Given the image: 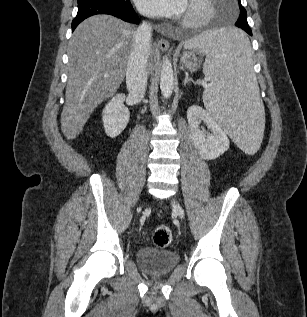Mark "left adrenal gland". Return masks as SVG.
Instances as JSON below:
<instances>
[{
    "mask_svg": "<svg viewBox=\"0 0 307 317\" xmlns=\"http://www.w3.org/2000/svg\"><path fill=\"white\" fill-rule=\"evenodd\" d=\"M188 82H193L194 83V81L191 78H189V74L186 72L185 73L184 85H186Z\"/></svg>",
    "mask_w": 307,
    "mask_h": 317,
    "instance_id": "left-adrenal-gland-1",
    "label": "left adrenal gland"
}]
</instances>
